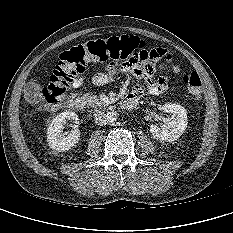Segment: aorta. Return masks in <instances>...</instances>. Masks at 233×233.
<instances>
[{
  "label": "aorta",
  "instance_id": "762f6f07",
  "mask_svg": "<svg viewBox=\"0 0 233 233\" xmlns=\"http://www.w3.org/2000/svg\"><path fill=\"white\" fill-rule=\"evenodd\" d=\"M106 118H107V122L109 123H113L117 120L118 118V113L114 110L108 111L106 113Z\"/></svg>",
  "mask_w": 233,
  "mask_h": 233
}]
</instances>
